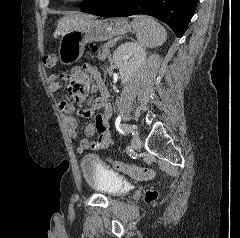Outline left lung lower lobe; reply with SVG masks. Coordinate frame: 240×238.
<instances>
[{"instance_id":"left-lung-lower-lobe-1","label":"left lung lower lobe","mask_w":240,"mask_h":238,"mask_svg":"<svg viewBox=\"0 0 240 238\" xmlns=\"http://www.w3.org/2000/svg\"><path fill=\"white\" fill-rule=\"evenodd\" d=\"M198 0H99L83 10L102 17L150 15L164 21L181 37L188 27Z\"/></svg>"}]
</instances>
